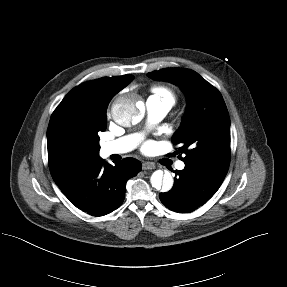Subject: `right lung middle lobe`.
<instances>
[{
    "mask_svg": "<svg viewBox=\"0 0 287 287\" xmlns=\"http://www.w3.org/2000/svg\"><path fill=\"white\" fill-rule=\"evenodd\" d=\"M107 127L106 115L98 114L93 108H87L79 118L76 129L71 136V144L86 154L99 153V132Z\"/></svg>",
    "mask_w": 287,
    "mask_h": 287,
    "instance_id": "dd1d6c3e",
    "label": "right lung middle lobe"
}]
</instances>
